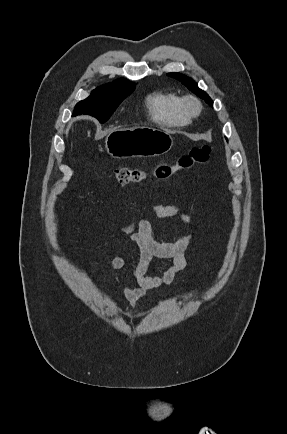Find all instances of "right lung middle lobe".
<instances>
[{
    "instance_id": "1",
    "label": "right lung middle lobe",
    "mask_w": 287,
    "mask_h": 434,
    "mask_svg": "<svg viewBox=\"0 0 287 434\" xmlns=\"http://www.w3.org/2000/svg\"><path fill=\"white\" fill-rule=\"evenodd\" d=\"M135 84H106L97 87L85 100L76 104L74 116L89 114L100 122H105L115 111L123 99L129 96L135 89Z\"/></svg>"
}]
</instances>
